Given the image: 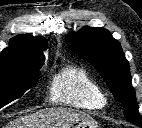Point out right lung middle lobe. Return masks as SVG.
<instances>
[{"label":"right lung middle lobe","mask_w":142,"mask_h":128,"mask_svg":"<svg viewBox=\"0 0 142 128\" xmlns=\"http://www.w3.org/2000/svg\"><path fill=\"white\" fill-rule=\"evenodd\" d=\"M44 62L45 60L32 64L15 77L0 78V108L20 98L36 84Z\"/></svg>","instance_id":"dd1d6c3e"}]
</instances>
